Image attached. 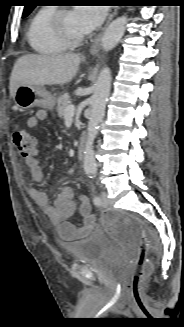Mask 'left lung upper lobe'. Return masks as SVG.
I'll return each instance as SVG.
<instances>
[{
  "label": "left lung upper lobe",
  "instance_id": "1",
  "mask_svg": "<svg viewBox=\"0 0 184 327\" xmlns=\"http://www.w3.org/2000/svg\"><path fill=\"white\" fill-rule=\"evenodd\" d=\"M27 5L24 8L22 17L25 18L27 15L30 14V12L34 9L35 5L33 4L32 0L27 1Z\"/></svg>",
  "mask_w": 184,
  "mask_h": 327
}]
</instances>
